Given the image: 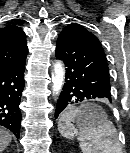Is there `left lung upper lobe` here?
I'll use <instances>...</instances> for the list:
<instances>
[{"mask_svg":"<svg viewBox=\"0 0 130 153\" xmlns=\"http://www.w3.org/2000/svg\"><path fill=\"white\" fill-rule=\"evenodd\" d=\"M63 31H69V32L71 31V32L81 33L82 35L87 36L90 40H92L99 47H101V44H100L99 40L92 33L88 32L83 26H81L77 23H72V24L66 26L63 29Z\"/></svg>","mask_w":130,"mask_h":153,"instance_id":"left-lung-upper-lobe-1","label":"left lung upper lobe"}]
</instances>
